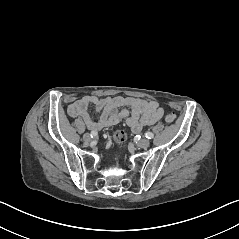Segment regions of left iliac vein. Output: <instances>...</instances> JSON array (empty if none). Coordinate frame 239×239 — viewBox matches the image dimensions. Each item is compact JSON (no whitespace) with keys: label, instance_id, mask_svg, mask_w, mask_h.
Wrapping results in <instances>:
<instances>
[{"label":"left iliac vein","instance_id":"left-iliac-vein-1","mask_svg":"<svg viewBox=\"0 0 239 239\" xmlns=\"http://www.w3.org/2000/svg\"><path fill=\"white\" fill-rule=\"evenodd\" d=\"M150 145V141L146 138H143L138 141V146L141 148H147Z\"/></svg>","mask_w":239,"mask_h":239}]
</instances>
